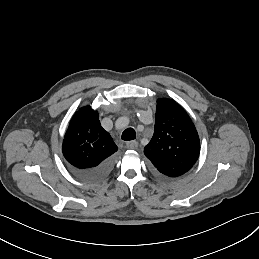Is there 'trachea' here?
<instances>
[{"label":"trachea","instance_id":"obj_1","mask_svg":"<svg viewBox=\"0 0 259 259\" xmlns=\"http://www.w3.org/2000/svg\"><path fill=\"white\" fill-rule=\"evenodd\" d=\"M135 138H136V133L133 128H127L122 133V140L124 141H131V140H134Z\"/></svg>","mask_w":259,"mask_h":259}]
</instances>
